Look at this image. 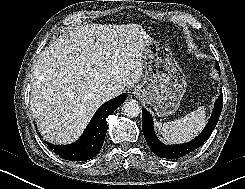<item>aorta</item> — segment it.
I'll return each mask as SVG.
<instances>
[{
    "instance_id": "aorta-1",
    "label": "aorta",
    "mask_w": 245,
    "mask_h": 189,
    "mask_svg": "<svg viewBox=\"0 0 245 189\" xmlns=\"http://www.w3.org/2000/svg\"><path fill=\"white\" fill-rule=\"evenodd\" d=\"M122 110L127 117L135 118L140 112L141 108L136 100L128 99L124 102Z\"/></svg>"
}]
</instances>
